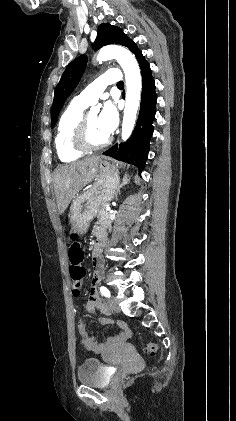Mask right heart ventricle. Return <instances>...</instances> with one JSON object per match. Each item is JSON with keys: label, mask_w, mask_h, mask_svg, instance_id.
<instances>
[{"label": "right heart ventricle", "mask_w": 236, "mask_h": 421, "mask_svg": "<svg viewBox=\"0 0 236 421\" xmlns=\"http://www.w3.org/2000/svg\"><path fill=\"white\" fill-rule=\"evenodd\" d=\"M84 106L72 101L61 114L56 131L55 148L59 159L64 163H73L83 156L73 145L71 135L73 128L82 116Z\"/></svg>", "instance_id": "1"}]
</instances>
